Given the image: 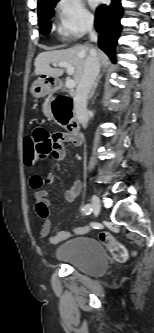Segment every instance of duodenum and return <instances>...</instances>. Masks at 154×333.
<instances>
[{"mask_svg":"<svg viewBox=\"0 0 154 333\" xmlns=\"http://www.w3.org/2000/svg\"><path fill=\"white\" fill-rule=\"evenodd\" d=\"M59 85H60V83L58 81H51V83H50L51 88H57V87H59ZM71 102H72V99H71ZM71 105H72V103H71ZM53 113H54V115L58 116L56 107H53ZM64 115H66V112H64ZM69 126L72 127L71 134L78 137L79 136V122L77 120H70Z\"/></svg>","mask_w":154,"mask_h":333,"instance_id":"1","label":"duodenum"}]
</instances>
